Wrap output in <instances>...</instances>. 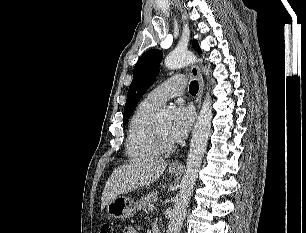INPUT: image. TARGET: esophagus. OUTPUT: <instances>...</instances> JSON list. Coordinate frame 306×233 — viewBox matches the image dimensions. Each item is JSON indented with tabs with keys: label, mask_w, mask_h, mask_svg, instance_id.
Returning a JSON list of instances; mask_svg holds the SVG:
<instances>
[{
	"label": "esophagus",
	"mask_w": 306,
	"mask_h": 233,
	"mask_svg": "<svg viewBox=\"0 0 306 233\" xmlns=\"http://www.w3.org/2000/svg\"><path fill=\"white\" fill-rule=\"evenodd\" d=\"M191 74L196 77V79L198 80L199 83V90H198V94L196 97V101H197V107L198 109L200 108V104H201V99H202V94H203V89H204V82H203V78L200 72V69L197 65H192L191 66ZM171 168H182V161L181 158L174 160L171 162L170 164Z\"/></svg>",
	"instance_id": "1"
}]
</instances>
